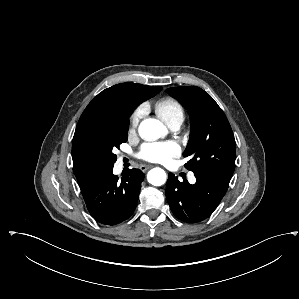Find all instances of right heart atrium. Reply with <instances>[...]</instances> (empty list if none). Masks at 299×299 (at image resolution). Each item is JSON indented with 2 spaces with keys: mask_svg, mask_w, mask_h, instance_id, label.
<instances>
[{
  "mask_svg": "<svg viewBox=\"0 0 299 299\" xmlns=\"http://www.w3.org/2000/svg\"><path fill=\"white\" fill-rule=\"evenodd\" d=\"M145 114V107L143 105H140L138 106L130 115V118H129V129L130 131H134L141 118L144 116Z\"/></svg>",
  "mask_w": 299,
  "mask_h": 299,
  "instance_id": "1",
  "label": "right heart atrium"
}]
</instances>
